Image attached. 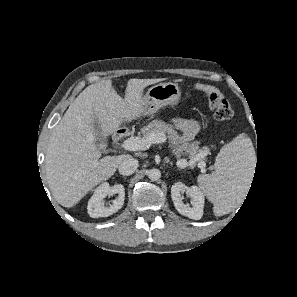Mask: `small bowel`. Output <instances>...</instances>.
<instances>
[{"instance_id":"1","label":"small bowel","mask_w":297,"mask_h":297,"mask_svg":"<svg viewBox=\"0 0 297 297\" xmlns=\"http://www.w3.org/2000/svg\"><path fill=\"white\" fill-rule=\"evenodd\" d=\"M172 124L182 132L181 140L183 141L192 140L200 129L198 122L189 119H176Z\"/></svg>"}]
</instances>
